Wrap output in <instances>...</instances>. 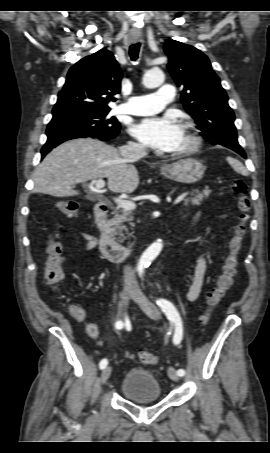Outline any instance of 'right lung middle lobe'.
Segmentation results:
<instances>
[{
	"instance_id": "obj_1",
	"label": "right lung middle lobe",
	"mask_w": 270,
	"mask_h": 453,
	"mask_svg": "<svg viewBox=\"0 0 270 453\" xmlns=\"http://www.w3.org/2000/svg\"><path fill=\"white\" fill-rule=\"evenodd\" d=\"M110 110L87 111L66 116L54 117L49 123L50 128H74L77 130H92L102 133H115L120 130V124L115 117H109Z\"/></svg>"
}]
</instances>
